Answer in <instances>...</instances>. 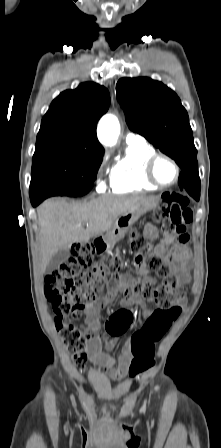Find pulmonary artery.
Here are the masks:
<instances>
[{"label": "pulmonary artery", "mask_w": 221, "mask_h": 448, "mask_svg": "<svg viewBox=\"0 0 221 448\" xmlns=\"http://www.w3.org/2000/svg\"><path fill=\"white\" fill-rule=\"evenodd\" d=\"M126 142L129 144V143H140V142H145V141H144V138L139 134L128 133V135L126 137Z\"/></svg>", "instance_id": "pulmonary-artery-1"}]
</instances>
